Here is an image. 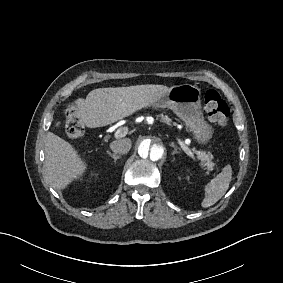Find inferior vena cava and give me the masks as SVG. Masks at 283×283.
<instances>
[{
  "instance_id": "1",
  "label": "inferior vena cava",
  "mask_w": 283,
  "mask_h": 283,
  "mask_svg": "<svg viewBox=\"0 0 283 283\" xmlns=\"http://www.w3.org/2000/svg\"><path fill=\"white\" fill-rule=\"evenodd\" d=\"M110 148L114 153L126 154L131 148V140L128 138L113 141Z\"/></svg>"
}]
</instances>
